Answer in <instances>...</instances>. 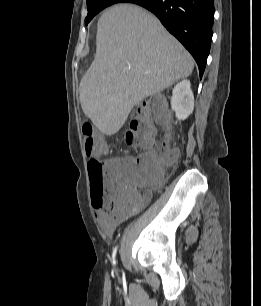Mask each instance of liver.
Segmentation results:
<instances>
[{
    "label": "liver",
    "mask_w": 261,
    "mask_h": 306,
    "mask_svg": "<svg viewBox=\"0 0 261 306\" xmlns=\"http://www.w3.org/2000/svg\"><path fill=\"white\" fill-rule=\"evenodd\" d=\"M193 68L192 56L154 15L116 5L97 24L96 55L80 83L82 110L100 132L115 134L136 104Z\"/></svg>",
    "instance_id": "obj_1"
}]
</instances>
